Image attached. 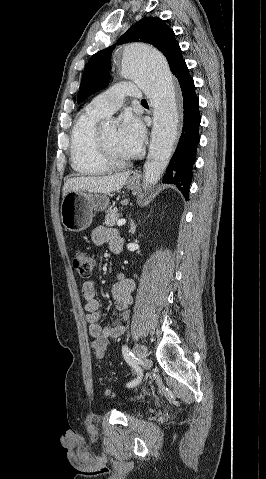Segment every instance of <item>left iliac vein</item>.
<instances>
[{"mask_svg": "<svg viewBox=\"0 0 266 479\" xmlns=\"http://www.w3.org/2000/svg\"><path fill=\"white\" fill-rule=\"evenodd\" d=\"M134 353L143 365L147 363V353L141 345L137 344L134 346Z\"/></svg>", "mask_w": 266, "mask_h": 479, "instance_id": "obj_1", "label": "left iliac vein"}]
</instances>
